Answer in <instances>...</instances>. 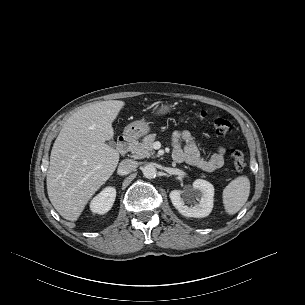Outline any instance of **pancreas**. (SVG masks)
I'll return each mask as SVG.
<instances>
[{"label": "pancreas", "instance_id": "pancreas-1", "mask_svg": "<svg viewBox=\"0 0 305 305\" xmlns=\"http://www.w3.org/2000/svg\"><path fill=\"white\" fill-rule=\"evenodd\" d=\"M155 138L156 134H149L143 138L142 142L133 143L131 147L132 157L143 159L153 155V142L155 141Z\"/></svg>", "mask_w": 305, "mask_h": 305}]
</instances>
